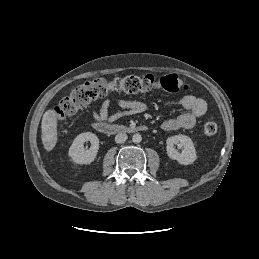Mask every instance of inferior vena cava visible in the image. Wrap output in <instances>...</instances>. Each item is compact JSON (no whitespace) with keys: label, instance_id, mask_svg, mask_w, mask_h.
Wrapping results in <instances>:
<instances>
[{"label":"inferior vena cava","instance_id":"602c4592","mask_svg":"<svg viewBox=\"0 0 259 259\" xmlns=\"http://www.w3.org/2000/svg\"><path fill=\"white\" fill-rule=\"evenodd\" d=\"M127 139H128V136L125 133H118L115 136V142L118 144L124 143Z\"/></svg>","mask_w":259,"mask_h":259}]
</instances>
